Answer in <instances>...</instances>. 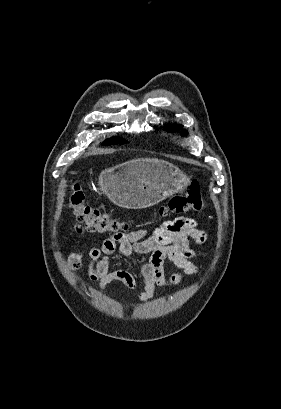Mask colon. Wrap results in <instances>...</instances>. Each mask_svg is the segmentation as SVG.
Wrapping results in <instances>:
<instances>
[{
	"label": "colon",
	"mask_w": 281,
	"mask_h": 409,
	"mask_svg": "<svg viewBox=\"0 0 281 409\" xmlns=\"http://www.w3.org/2000/svg\"><path fill=\"white\" fill-rule=\"evenodd\" d=\"M81 171L77 172L80 175ZM204 202L198 186L191 185L185 187L181 195L171 199L167 205L159 209L161 216H166L169 212L181 214L191 211H201ZM69 208L77 219V229L86 228L97 234H119L129 231V226L123 220L117 218L110 212L89 206L85 201V193L80 184L75 182L71 186L69 196Z\"/></svg>",
	"instance_id": "obj_1"
}]
</instances>
